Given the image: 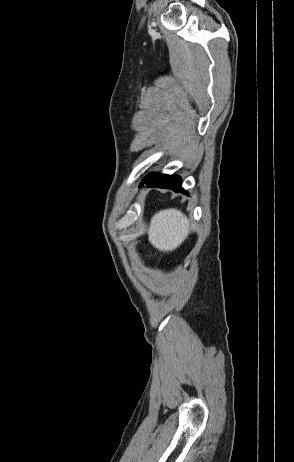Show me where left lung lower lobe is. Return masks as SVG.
<instances>
[{"label": "left lung lower lobe", "mask_w": 294, "mask_h": 462, "mask_svg": "<svg viewBox=\"0 0 294 462\" xmlns=\"http://www.w3.org/2000/svg\"><path fill=\"white\" fill-rule=\"evenodd\" d=\"M142 183H146L147 187L166 188L186 194L181 187V178L179 176L150 174Z\"/></svg>", "instance_id": "1"}]
</instances>
